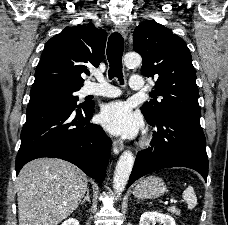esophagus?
Returning <instances> with one entry per match:
<instances>
[{
    "mask_svg": "<svg viewBox=\"0 0 228 225\" xmlns=\"http://www.w3.org/2000/svg\"><path fill=\"white\" fill-rule=\"evenodd\" d=\"M117 30L124 39L127 38L128 29L126 25L124 24L118 25ZM112 148H113V153H115V155H118L119 153L122 152V150H124V143L121 140H117V139L113 140Z\"/></svg>",
    "mask_w": 228,
    "mask_h": 225,
    "instance_id": "esophagus-1",
    "label": "esophagus"
}]
</instances>
